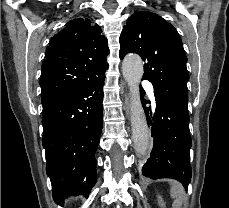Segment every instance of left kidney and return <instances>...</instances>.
Listing matches in <instances>:
<instances>
[{"mask_svg": "<svg viewBox=\"0 0 229 208\" xmlns=\"http://www.w3.org/2000/svg\"><path fill=\"white\" fill-rule=\"evenodd\" d=\"M158 204H159L160 208H166L165 202H163L162 196H158Z\"/></svg>", "mask_w": 229, "mask_h": 208, "instance_id": "1", "label": "left kidney"}]
</instances>
